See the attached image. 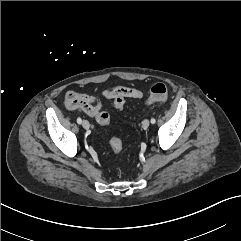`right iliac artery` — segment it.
Returning a JSON list of instances; mask_svg holds the SVG:
<instances>
[{"label": "right iliac artery", "mask_w": 241, "mask_h": 241, "mask_svg": "<svg viewBox=\"0 0 241 241\" xmlns=\"http://www.w3.org/2000/svg\"><path fill=\"white\" fill-rule=\"evenodd\" d=\"M77 123L81 124L82 123V119L81 118H77Z\"/></svg>", "instance_id": "obj_1"}]
</instances>
